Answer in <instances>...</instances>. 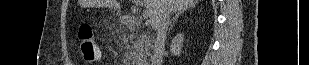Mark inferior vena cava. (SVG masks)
<instances>
[{
    "label": "inferior vena cava",
    "mask_w": 309,
    "mask_h": 65,
    "mask_svg": "<svg viewBox=\"0 0 309 65\" xmlns=\"http://www.w3.org/2000/svg\"><path fill=\"white\" fill-rule=\"evenodd\" d=\"M170 23V13L167 12L161 18L157 27L156 39L154 42V51L151 58V65H162L166 33Z\"/></svg>",
    "instance_id": "1"
}]
</instances>
